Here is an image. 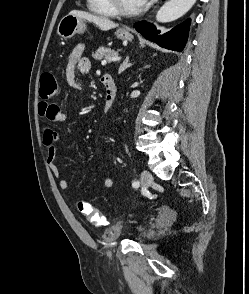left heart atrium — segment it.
Listing matches in <instances>:
<instances>
[{"label": "left heart atrium", "mask_w": 249, "mask_h": 294, "mask_svg": "<svg viewBox=\"0 0 249 294\" xmlns=\"http://www.w3.org/2000/svg\"><path fill=\"white\" fill-rule=\"evenodd\" d=\"M140 6L146 4L149 0H137Z\"/></svg>", "instance_id": "1"}]
</instances>
